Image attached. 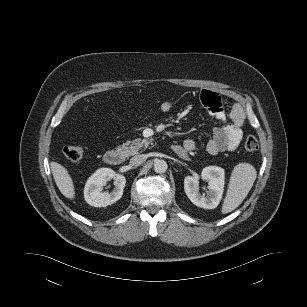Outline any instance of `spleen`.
Masks as SVG:
<instances>
[{
  "instance_id": "3e777b00",
  "label": "spleen",
  "mask_w": 307,
  "mask_h": 307,
  "mask_svg": "<svg viewBox=\"0 0 307 307\" xmlns=\"http://www.w3.org/2000/svg\"><path fill=\"white\" fill-rule=\"evenodd\" d=\"M256 176V169L249 163H239L234 167L222 205L223 214L232 212L243 202L251 190Z\"/></svg>"
}]
</instances>
